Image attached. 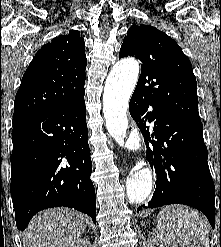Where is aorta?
<instances>
[{
  "mask_svg": "<svg viewBox=\"0 0 221 247\" xmlns=\"http://www.w3.org/2000/svg\"><path fill=\"white\" fill-rule=\"evenodd\" d=\"M139 75V64L134 59L118 61L111 69L104 87L103 113L109 133L120 146H124L128 128L126 111ZM153 178L150 168L134 172L126 180L130 203L144 202L152 191Z\"/></svg>",
  "mask_w": 221,
  "mask_h": 247,
  "instance_id": "762f6f07",
  "label": "aorta"
}]
</instances>
